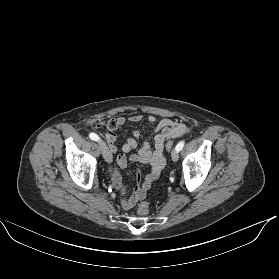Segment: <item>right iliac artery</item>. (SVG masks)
I'll use <instances>...</instances> for the list:
<instances>
[{
  "label": "right iliac artery",
  "instance_id": "82829eb1",
  "mask_svg": "<svg viewBox=\"0 0 279 279\" xmlns=\"http://www.w3.org/2000/svg\"><path fill=\"white\" fill-rule=\"evenodd\" d=\"M89 137H90L91 140H94V141H99V140H100V138L98 137V135L95 134V133H90V134H89Z\"/></svg>",
  "mask_w": 279,
  "mask_h": 279
}]
</instances>
